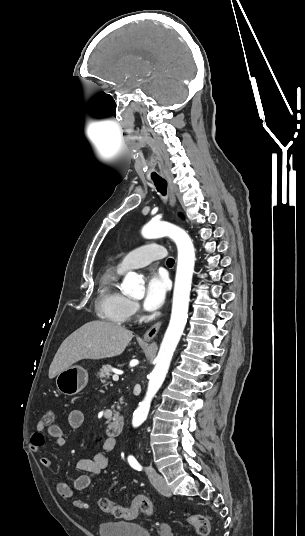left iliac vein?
<instances>
[{
    "label": "left iliac vein",
    "instance_id": "obj_1",
    "mask_svg": "<svg viewBox=\"0 0 305 536\" xmlns=\"http://www.w3.org/2000/svg\"><path fill=\"white\" fill-rule=\"evenodd\" d=\"M149 479L153 486L162 494H169L170 489L166 484L165 478L158 474L154 468L146 469Z\"/></svg>",
    "mask_w": 305,
    "mask_h": 536
}]
</instances>
